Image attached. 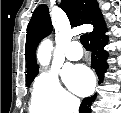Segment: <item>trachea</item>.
<instances>
[{
	"label": "trachea",
	"instance_id": "trachea-1",
	"mask_svg": "<svg viewBox=\"0 0 121 113\" xmlns=\"http://www.w3.org/2000/svg\"><path fill=\"white\" fill-rule=\"evenodd\" d=\"M80 42L85 49L90 50L89 37L88 34H83L80 37Z\"/></svg>",
	"mask_w": 121,
	"mask_h": 113
}]
</instances>
